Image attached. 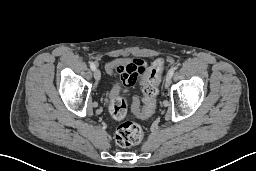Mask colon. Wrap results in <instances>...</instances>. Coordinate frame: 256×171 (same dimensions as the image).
Wrapping results in <instances>:
<instances>
[{"label": "colon", "mask_w": 256, "mask_h": 171, "mask_svg": "<svg viewBox=\"0 0 256 171\" xmlns=\"http://www.w3.org/2000/svg\"><path fill=\"white\" fill-rule=\"evenodd\" d=\"M164 71V62L160 59L154 61L143 76V100L146 108L153 110L158 93L157 86L161 74ZM111 116L118 121L124 119L127 113V101L115 94H112L109 105ZM143 138V130L140 125L134 122H122L116 129L115 139L119 146L129 147L138 144Z\"/></svg>", "instance_id": "5ec220e1"}]
</instances>
